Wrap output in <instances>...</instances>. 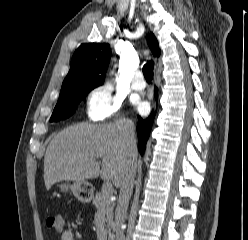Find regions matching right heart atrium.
Here are the masks:
<instances>
[{"mask_svg": "<svg viewBox=\"0 0 248 240\" xmlns=\"http://www.w3.org/2000/svg\"><path fill=\"white\" fill-rule=\"evenodd\" d=\"M122 98L113 94L107 84L90 89L86 95V115L93 121H105L120 116Z\"/></svg>", "mask_w": 248, "mask_h": 240, "instance_id": "d8ad5b80", "label": "right heart atrium"}]
</instances>
